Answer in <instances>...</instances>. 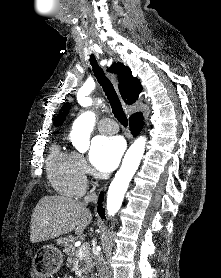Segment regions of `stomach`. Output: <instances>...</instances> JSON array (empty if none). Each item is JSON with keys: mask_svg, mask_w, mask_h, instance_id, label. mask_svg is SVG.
Here are the masks:
<instances>
[{"mask_svg": "<svg viewBox=\"0 0 221 278\" xmlns=\"http://www.w3.org/2000/svg\"><path fill=\"white\" fill-rule=\"evenodd\" d=\"M39 252L34 264H29V269H34V274L40 278H47L58 272L63 263L62 252L52 245L43 246Z\"/></svg>", "mask_w": 221, "mask_h": 278, "instance_id": "1", "label": "stomach"}]
</instances>
